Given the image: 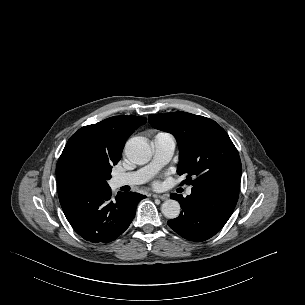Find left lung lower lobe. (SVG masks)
<instances>
[{"mask_svg":"<svg viewBox=\"0 0 305 305\" xmlns=\"http://www.w3.org/2000/svg\"><path fill=\"white\" fill-rule=\"evenodd\" d=\"M239 180L212 181L193 187L191 195L184 198L173 193L172 199L181 205L180 215L168 225L183 238L205 241L214 236L228 221L239 195Z\"/></svg>","mask_w":305,"mask_h":305,"instance_id":"1","label":"left lung lower lobe"}]
</instances>
